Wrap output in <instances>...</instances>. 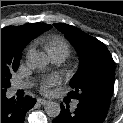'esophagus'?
Returning <instances> with one entry per match:
<instances>
[{"label": "esophagus", "instance_id": "esophagus-1", "mask_svg": "<svg viewBox=\"0 0 123 123\" xmlns=\"http://www.w3.org/2000/svg\"><path fill=\"white\" fill-rule=\"evenodd\" d=\"M37 102L38 103H40L41 105H46V104H48V100H45V99H42V98H39L38 100H37Z\"/></svg>", "mask_w": 123, "mask_h": 123}]
</instances>
